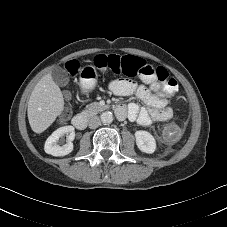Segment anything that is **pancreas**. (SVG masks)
I'll list each match as a JSON object with an SVG mask.
<instances>
[{
  "label": "pancreas",
  "mask_w": 227,
  "mask_h": 227,
  "mask_svg": "<svg viewBox=\"0 0 227 227\" xmlns=\"http://www.w3.org/2000/svg\"><path fill=\"white\" fill-rule=\"evenodd\" d=\"M105 106L101 105L99 102H93L86 106L84 112L88 115H94L102 111Z\"/></svg>",
  "instance_id": "obj_1"
}]
</instances>
